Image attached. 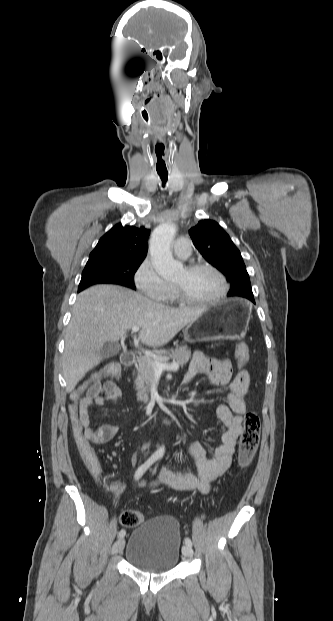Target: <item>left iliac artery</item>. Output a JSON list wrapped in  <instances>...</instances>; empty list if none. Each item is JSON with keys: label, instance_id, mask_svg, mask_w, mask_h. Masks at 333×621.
<instances>
[{"label": "left iliac artery", "instance_id": "obj_1", "mask_svg": "<svg viewBox=\"0 0 333 621\" xmlns=\"http://www.w3.org/2000/svg\"><path fill=\"white\" fill-rule=\"evenodd\" d=\"M156 469H157V466L154 468V470H153V474H155V473H156ZM185 544H186V545H188V546H190V547L192 546V541H191V539H190L189 537H186V538H185Z\"/></svg>", "mask_w": 333, "mask_h": 621}]
</instances>
